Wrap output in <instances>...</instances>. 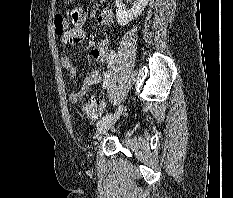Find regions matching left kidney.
<instances>
[{"mask_svg": "<svg viewBox=\"0 0 233 198\" xmlns=\"http://www.w3.org/2000/svg\"><path fill=\"white\" fill-rule=\"evenodd\" d=\"M122 1L123 0H115L116 19L120 26H125L142 13L149 0H135L134 5L130 10H127L123 6Z\"/></svg>", "mask_w": 233, "mask_h": 198, "instance_id": "left-kidney-1", "label": "left kidney"}]
</instances>
